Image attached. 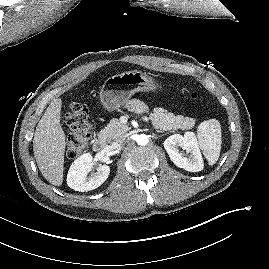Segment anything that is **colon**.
<instances>
[{
  "label": "colon",
  "mask_w": 269,
  "mask_h": 269,
  "mask_svg": "<svg viewBox=\"0 0 269 269\" xmlns=\"http://www.w3.org/2000/svg\"><path fill=\"white\" fill-rule=\"evenodd\" d=\"M197 99L196 93L191 94ZM66 124L69 128L66 143V154L69 158L80 155L87 147L91 137L92 124L89 110L83 104L71 101L65 114Z\"/></svg>",
  "instance_id": "colon-1"
}]
</instances>
